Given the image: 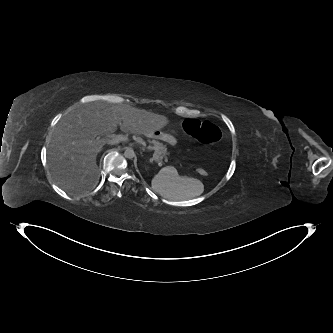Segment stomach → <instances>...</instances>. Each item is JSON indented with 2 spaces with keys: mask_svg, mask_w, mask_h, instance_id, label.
I'll return each instance as SVG.
<instances>
[{
  "mask_svg": "<svg viewBox=\"0 0 333 333\" xmlns=\"http://www.w3.org/2000/svg\"><path fill=\"white\" fill-rule=\"evenodd\" d=\"M154 135L156 136L157 139H161V140H165V141H168L169 139L172 138L170 135L160 132V131L154 132Z\"/></svg>",
  "mask_w": 333,
  "mask_h": 333,
  "instance_id": "obj_1",
  "label": "stomach"
}]
</instances>
